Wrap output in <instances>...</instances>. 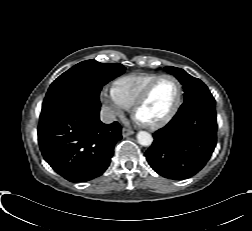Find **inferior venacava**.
Segmentation results:
<instances>
[{
  "label": "inferior vena cava",
  "mask_w": 252,
  "mask_h": 231,
  "mask_svg": "<svg viewBox=\"0 0 252 231\" xmlns=\"http://www.w3.org/2000/svg\"><path fill=\"white\" fill-rule=\"evenodd\" d=\"M100 119L103 123H112L116 119L115 112L109 107H102L100 111Z\"/></svg>",
  "instance_id": "1"
}]
</instances>
